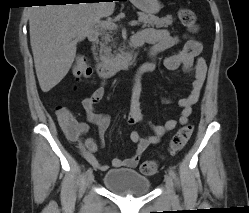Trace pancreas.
<instances>
[{
	"mask_svg": "<svg viewBox=\"0 0 249 213\" xmlns=\"http://www.w3.org/2000/svg\"><path fill=\"white\" fill-rule=\"evenodd\" d=\"M139 22L143 23L144 26H155L157 28L168 27L172 25L173 18L172 16H166L163 18H159L154 15L138 13ZM114 29H101L99 35L101 37V41L99 43V55L100 59L104 62L111 63L115 59V55L112 54V47H115V42L113 39Z\"/></svg>",
	"mask_w": 249,
	"mask_h": 213,
	"instance_id": "pancreas-1",
	"label": "pancreas"
}]
</instances>
